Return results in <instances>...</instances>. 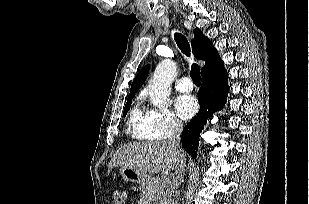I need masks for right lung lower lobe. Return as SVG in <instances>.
<instances>
[{
  "label": "right lung lower lobe",
  "mask_w": 309,
  "mask_h": 204,
  "mask_svg": "<svg viewBox=\"0 0 309 204\" xmlns=\"http://www.w3.org/2000/svg\"><path fill=\"white\" fill-rule=\"evenodd\" d=\"M227 77L224 66L202 75V86L198 92L200 110L185 126L181 137L184 149L193 159H196L199 136L208 117L226 103L229 91Z\"/></svg>",
  "instance_id": "98d812e1"
}]
</instances>
